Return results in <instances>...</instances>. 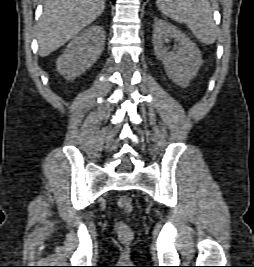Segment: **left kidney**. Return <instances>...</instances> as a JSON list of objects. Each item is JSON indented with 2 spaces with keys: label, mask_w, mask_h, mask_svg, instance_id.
<instances>
[{
  "label": "left kidney",
  "mask_w": 254,
  "mask_h": 267,
  "mask_svg": "<svg viewBox=\"0 0 254 267\" xmlns=\"http://www.w3.org/2000/svg\"><path fill=\"white\" fill-rule=\"evenodd\" d=\"M168 39L178 43L177 51H167ZM153 45L154 54L162 61L168 77L177 85L187 87L202 64L198 47L176 26L158 18L153 24Z\"/></svg>",
  "instance_id": "obj_1"
}]
</instances>
